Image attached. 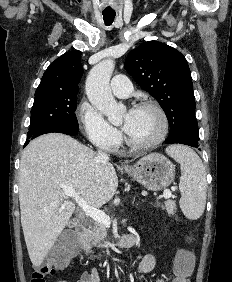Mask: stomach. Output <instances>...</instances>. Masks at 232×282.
Masks as SVG:
<instances>
[{
	"mask_svg": "<svg viewBox=\"0 0 232 282\" xmlns=\"http://www.w3.org/2000/svg\"><path fill=\"white\" fill-rule=\"evenodd\" d=\"M128 175L150 191L167 188L175 178V166L165 156L151 153L126 169Z\"/></svg>",
	"mask_w": 232,
	"mask_h": 282,
	"instance_id": "stomach-1",
	"label": "stomach"
}]
</instances>
